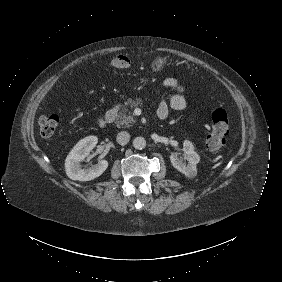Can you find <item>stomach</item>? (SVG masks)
Instances as JSON below:
<instances>
[{
	"label": "stomach",
	"mask_w": 282,
	"mask_h": 282,
	"mask_svg": "<svg viewBox=\"0 0 282 282\" xmlns=\"http://www.w3.org/2000/svg\"><path fill=\"white\" fill-rule=\"evenodd\" d=\"M166 64V58L158 57L152 62V70L157 72L160 71Z\"/></svg>",
	"instance_id": "1"
}]
</instances>
